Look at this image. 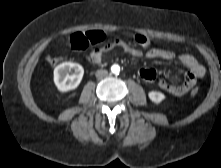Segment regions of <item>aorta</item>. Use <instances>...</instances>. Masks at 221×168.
Listing matches in <instances>:
<instances>
[{
  "mask_svg": "<svg viewBox=\"0 0 221 168\" xmlns=\"http://www.w3.org/2000/svg\"><path fill=\"white\" fill-rule=\"evenodd\" d=\"M111 72L114 74H119L120 72V66L118 64H114L111 66Z\"/></svg>",
  "mask_w": 221,
  "mask_h": 168,
  "instance_id": "762f6f07",
  "label": "aorta"
}]
</instances>
